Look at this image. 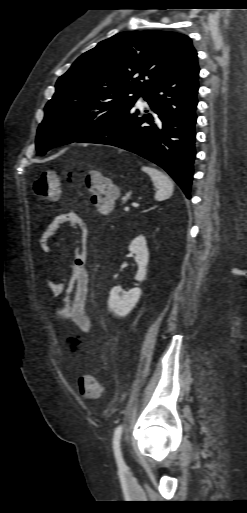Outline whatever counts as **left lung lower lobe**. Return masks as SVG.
<instances>
[{
    "label": "left lung lower lobe",
    "mask_w": 247,
    "mask_h": 513,
    "mask_svg": "<svg viewBox=\"0 0 247 513\" xmlns=\"http://www.w3.org/2000/svg\"><path fill=\"white\" fill-rule=\"evenodd\" d=\"M199 67L197 56L143 98L153 114L133 112L135 103L98 131L75 142L116 146L165 169L190 198L195 158Z\"/></svg>",
    "instance_id": "left-lung-lower-lobe-1"
}]
</instances>
